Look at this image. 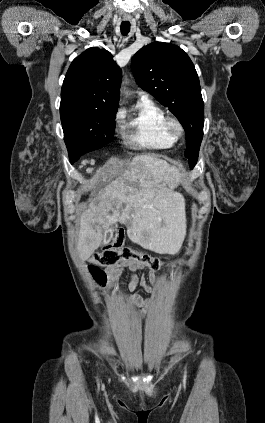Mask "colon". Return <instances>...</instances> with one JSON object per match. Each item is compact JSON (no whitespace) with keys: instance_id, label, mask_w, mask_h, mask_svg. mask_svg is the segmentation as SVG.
Returning <instances> with one entry per match:
<instances>
[{"instance_id":"obj_1","label":"colon","mask_w":265,"mask_h":423,"mask_svg":"<svg viewBox=\"0 0 265 423\" xmlns=\"http://www.w3.org/2000/svg\"><path fill=\"white\" fill-rule=\"evenodd\" d=\"M124 241L125 234L120 229L114 234L108 245L92 256V265L89 266V271L97 285H102L105 281L104 273L99 266H111L120 261H131L148 268L150 271L157 272L165 265L156 257L124 246Z\"/></svg>"}]
</instances>
